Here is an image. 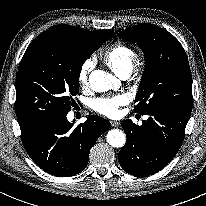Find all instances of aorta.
<instances>
[{"label":"aorta","mask_w":206,"mask_h":206,"mask_svg":"<svg viewBox=\"0 0 206 206\" xmlns=\"http://www.w3.org/2000/svg\"><path fill=\"white\" fill-rule=\"evenodd\" d=\"M117 79L108 72L103 70H94L89 76L90 86L93 91L105 92L113 87ZM107 142L110 146L121 148L126 142V136L123 131L119 129H112L107 133Z\"/></svg>","instance_id":"obj_1"}]
</instances>
